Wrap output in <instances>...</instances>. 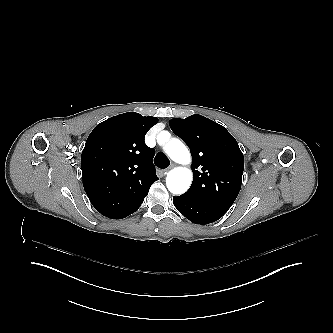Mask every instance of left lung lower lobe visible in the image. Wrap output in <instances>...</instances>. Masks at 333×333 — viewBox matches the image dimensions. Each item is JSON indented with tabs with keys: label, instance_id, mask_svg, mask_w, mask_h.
Instances as JSON below:
<instances>
[{
	"label": "left lung lower lobe",
	"instance_id": "0a47b994",
	"mask_svg": "<svg viewBox=\"0 0 333 333\" xmlns=\"http://www.w3.org/2000/svg\"><path fill=\"white\" fill-rule=\"evenodd\" d=\"M174 206L187 219L196 224H209L220 219L229 208L196 202L181 196L173 197Z\"/></svg>",
	"mask_w": 333,
	"mask_h": 333
}]
</instances>
